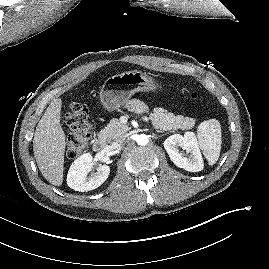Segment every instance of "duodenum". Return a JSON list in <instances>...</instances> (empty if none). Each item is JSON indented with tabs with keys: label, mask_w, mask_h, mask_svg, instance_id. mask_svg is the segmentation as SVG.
<instances>
[{
	"label": "duodenum",
	"mask_w": 269,
	"mask_h": 269,
	"mask_svg": "<svg viewBox=\"0 0 269 269\" xmlns=\"http://www.w3.org/2000/svg\"><path fill=\"white\" fill-rule=\"evenodd\" d=\"M107 146L106 139L103 137H98L93 142V149L97 152L103 151Z\"/></svg>",
	"instance_id": "obj_1"
}]
</instances>
